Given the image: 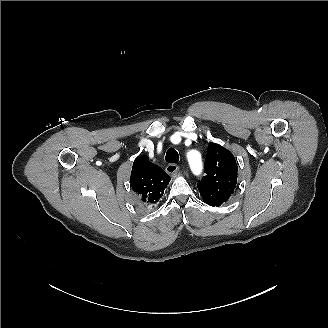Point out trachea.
<instances>
[{"label":"trachea","mask_w":328,"mask_h":328,"mask_svg":"<svg viewBox=\"0 0 328 328\" xmlns=\"http://www.w3.org/2000/svg\"><path fill=\"white\" fill-rule=\"evenodd\" d=\"M167 163H177L179 161V154L174 148H169L165 155Z\"/></svg>","instance_id":"1"}]
</instances>
